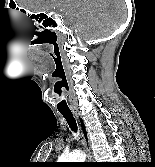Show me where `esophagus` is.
I'll return each instance as SVG.
<instances>
[{"instance_id": "1", "label": "esophagus", "mask_w": 155, "mask_h": 167, "mask_svg": "<svg viewBox=\"0 0 155 167\" xmlns=\"http://www.w3.org/2000/svg\"><path fill=\"white\" fill-rule=\"evenodd\" d=\"M74 114H75V117H76L78 125H79V129H80L81 137H82V142H83L85 151L87 153L88 161H92L93 156H92V150H91V139H90V134H89L88 128H87L85 121H84L83 117L81 116V114L79 112H74Z\"/></svg>"}]
</instances>
